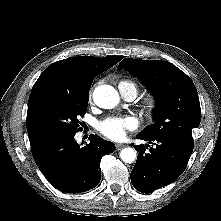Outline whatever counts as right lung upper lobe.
<instances>
[{
    "label": "right lung upper lobe",
    "instance_id": "obj_1",
    "mask_svg": "<svg viewBox=\"0 0 221 221\" xmlns=\"http://www.w3.org/2000/svg\"><path fill=\"white\" fill-rule=\"evenodd\" d=\"M121 59V56H107L103 58L79 56L55 62L42 72L32 88L30 97L43 89L68 93L87 92L95 76L108 70ZM29 138L31 145L37 143L31 139L30 134Z\"/></svg>",
    "mask_w": 221,
    "mask_h": 221
}]
</instances>
